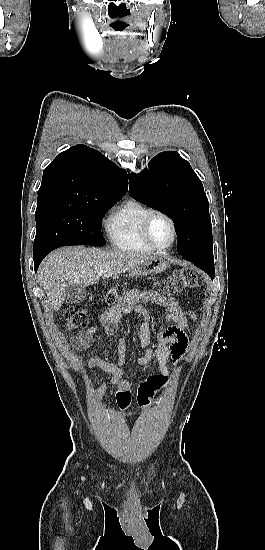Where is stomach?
I'll return each mask as SVG.
<instances>
[{"label": "stomach", "instance_id": "stomach-1", "mask_svg": "<svg viewBox=\"0 0 265 550\" xmlns=\"http://www.w3.org/2000/svg\"><path fill=\"white\" fill-rule=\"evenodd\" d=\"M168 268V262L161 256H150L132 270L134 275L146 276L157 274Z\"/></svg>", "mask_w": 265, "mask_h": 550}]
</instances>
